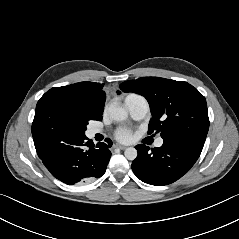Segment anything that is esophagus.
I'll return each instance as SVG.
<instances>
[{
	"mask_svg": "<svg viewBox=\"0 0 239 239\" xmlns=\"http://www.w3.org/2000/svg\"><path fill=\"white\" fill-rule=\"evenodd\" d=\"M115 147H116V148H119V149H121V150H124V149L127 148L126 146H123V145H120V144H116Z\"/></svg>",
	"mask_w": 239,
	"mask_h": 239,
	"instance_id": "34e87169",
	"label": "esophagus"
}]
</instances>
